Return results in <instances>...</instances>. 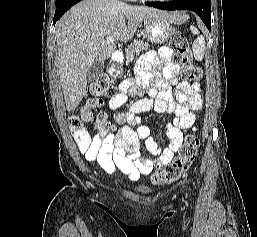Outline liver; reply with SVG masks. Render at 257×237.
Instances as JSON below:
<instances>
[{
	"label": "liver",
	"mask_w": 257,
	"mask_h": 237,
	"mask_svg": "<svg viewBox=\"0 0 257 237\" xmlns=\"http://www.w3.org/2000/svg\"><path fill=\"white\" fill-rule=\"evenodd\" d=\"M162 16L175 24L179 13L168 14L148 7L131 6L118 0H83L67 11L56 25L59 76L66 109L73 111L86 92V72L95 61L108 59L116 49L109 36L127 43L145 18Z\"/></svg>",
	"instance_id": "6515ba94"
}]
</instances>
